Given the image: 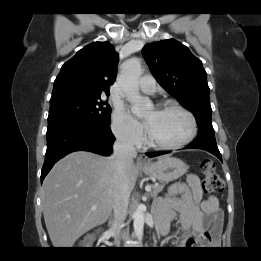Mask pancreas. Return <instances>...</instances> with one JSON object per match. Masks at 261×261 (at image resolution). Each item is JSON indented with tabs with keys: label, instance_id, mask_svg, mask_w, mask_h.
<instances>
[{
	"label": "pancreas",
	"instance_id": "obj_1",
	"mask_svg": "<svg viewBox=\"0 0 261 261\" xmlns=\"http://www.w3.org/2000/svg\"><path fill=\"white\" fill-rule=\"evenodd\" d=\"M164 188V184H160L157 186H152L151 196L156 197Z\"/></svg>",
	"mask_w": 261,
	"mask_h": 261
}]
</instances>
